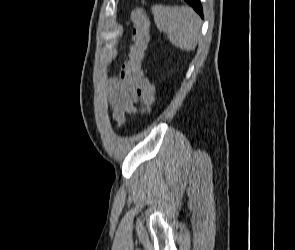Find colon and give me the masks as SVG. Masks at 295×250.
Returning <instances> with one entry per match:
<instances>
[{
  "instance_id": "obj_1",
  "label": "colon",
  "mask_w": 295,
  "mask_h": 250,
  "mask_svg": "<svg viewBox=\"0 0 295 250\" xmlns=\"http://www.w3.org/2000/svg\"><path fill=\"white\" fill-rule=\"evenodd\" d=\"M132 39L128 59L123 63L121 77L134 86L141 99L145 112H150L155 101L153 85L145 77L142 62L150 41V21L142 9H134Z\"/></svg>"
}]
</instances>
